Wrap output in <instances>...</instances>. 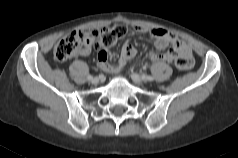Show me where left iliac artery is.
I'll use <instances>...</instances> for the list:
<instances>
[{
	"mask_svg": "<svg viewBox=\"0 0 238 158\" xmlns=\"http://www.w3.org/2000/svg\"><path fill=\"white\" fill-rule=\"evenodd\" d=\"M142 79L145 81H153L154 80V78L150 75H143Z\"/></svg>",
	"mask_w": 238,
	"mask_h": 158,
	"instance_id": "44dca946",
	"label": "left iliac artery"
}]
</instances>
